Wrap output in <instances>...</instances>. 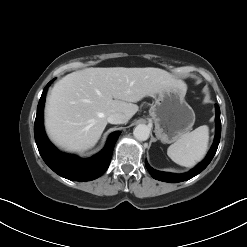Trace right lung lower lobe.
Wrapping results in <instances>:
<instances>
[{"label":"right lung lower lobe","instance_id":"obj_1","mask_svg":"<svg viewBox=\"0 0 247 247\" xmlns=\"http://www.w3.org/2000/svg\"><path fill=\"white\" fill-rule=\"evenodd\" d=\"M50 81L43 90L37 107L34 136L39 153L45 163L58 175L74 181H90L100 177L108 168L115 142L120 132L110 135L105 148L89 159L59 152L48 140L43 127V107Z\"/></svg>","mask_w":247,"mask_h":247}]
</instances>
